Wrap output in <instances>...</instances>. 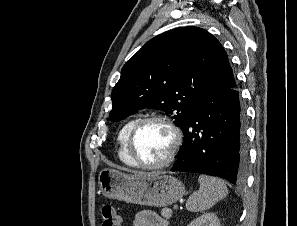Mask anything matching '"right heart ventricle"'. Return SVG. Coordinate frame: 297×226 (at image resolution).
I'll list each match as a JSON object with an SVG mask.
<instances>
[{
  "label": "right heart ventricle",
  "instance_id": "obj_1",
  "mask_svg": "<svg viewBox=\"0 0 297 226\" xmlns=\"http://www.w3.org/2000/svg\"><path fill=\"white\" fill-rule=\"evenodd\" d=\"M138 120V117L131 118L127 120L124 125L121 127L118 136H117V142H118V158L121 162L124 164L130 166V167H137L131 157L129 156V153L127 151V138L130 129L132 128L133 124Z\"/></svg>",
  "mask_w": 297,
  "mask_h": 226
}]
</instances>
